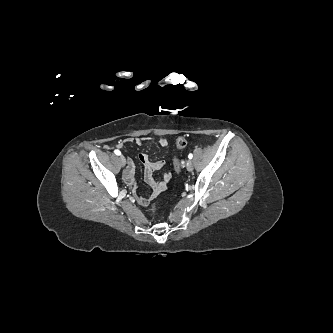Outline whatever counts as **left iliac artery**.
<instances>
[{
	"label": "left iliac artery",
	"mask_w": 333,
	"mask_h": 333,
	"mask_svg": "<svg viewBox=\"0 0 333 333\" xmlns=\"http://www.w3.org/2000/svg\"><path fill=\"white\" fill-rule=\"evenodd\" d=\"M188 158H189V159H192V158H193V154L190 153V154L188 155Z\"/></svg>",
	"instance_id": "left-iliac-artery-1"
}]
</instances>
